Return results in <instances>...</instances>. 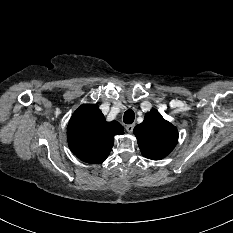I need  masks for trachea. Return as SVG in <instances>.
Masks as SVG:
<instances>
[{"instance_id":"trachea-1","label":"trachea","mask_w":233,"mask_h":233,"mask_svg":"<svg viewBox=\"0 0 233 233\" xmlns=\"http://www.w3.org/2000/svg\"><path fill=\"white\" fill-rule=\"evenodd\" d=\"M135 119V114L133 112V110L128 109L125 113H124V117H123V121L125 124H132L134 122Z\"/></svg>"}]
</instances>
